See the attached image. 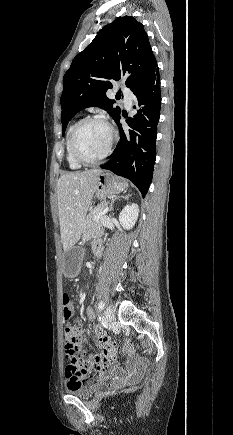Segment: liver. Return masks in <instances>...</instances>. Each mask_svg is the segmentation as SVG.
I'll return each mask as SVG.
<instances>
[{
  "label": "liver",
  "mask_w": 233,
  "mask_h": 435,
  "mask_svg": "<svg viewBox=\"0 0 233 435\" xmlns=\"http://www.w3.org/2000/svg\"><path fill=\"white\" fill-rule=\"evenodd\" d=\"M100 173V169L71 172L62 175L57 182L60 234L64 250L76 244L81 237Z\"/></svg>",
  "instance_id": "liver-1"
}]
</instances>
